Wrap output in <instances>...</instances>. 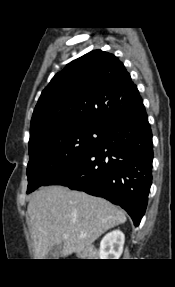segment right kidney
<instances>
[{
	"label": "right kidney",
	"instance_id": "obj_1",
	"mask_svg": "<svg viewBox=\"0 0 175 287\" xmlns=\"http://www.w3.org/2000/svg\"><path fill=\"white\" fill-rule=\"evenodd\" d=\"M125 236L120 230L106 234L100 243V259H119L123 252Z\"/></svg>",
	"mask_w": 175,
	"mask_h": 287
}]
</instances>
